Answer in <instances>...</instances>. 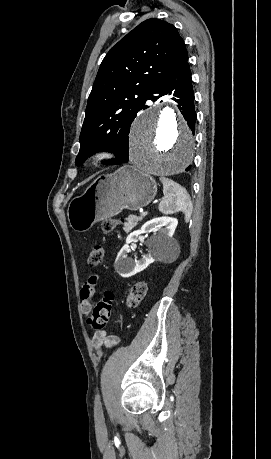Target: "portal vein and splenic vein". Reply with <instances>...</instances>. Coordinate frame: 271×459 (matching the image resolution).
Wrapping results in <instances>:
<instances>
[{"mask_svg": "<svg viewBox=\"0 0 271 459\" xmlns=\"http://www.w3.org/2000/svg\"><path fill=\"white\" fill-rule=\"evenodd\" d=\"M140 214H141L140 215L141 217L147 216V212H145V211L141 212Z\"/></svg>", "mask_w": 271, "mask_h": 459, "instance_id": "1", "label": "portal vein and splenic vein"}]
</instances>
